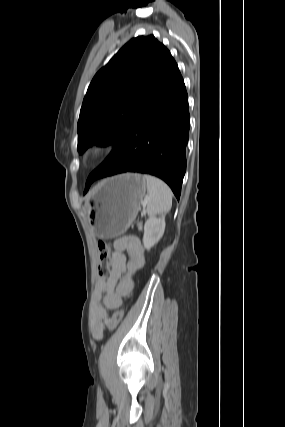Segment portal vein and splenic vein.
<instances>
[{"label": "portal vein and splenic vein", "instance_id": "1", "mask_svg": "<svg viewBox=\"0 0 285 427\" xmlns=\"http://www.w3.org/2000/svg\"><path fill=\"white\" fill-rule=\"evenodd\" d=\"M147 203V200L143 203V205H145ZM145 209L143 208V213H145Z\"/></svg>", "mask_w": 285, "mask_h": 427}]
</instances>
